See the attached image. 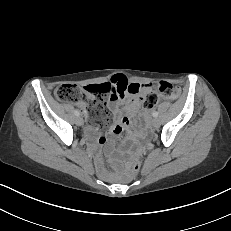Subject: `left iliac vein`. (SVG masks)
I'll return each mask as SVG.
<instances>
[{
  "label": "left iliac vein",
  "instance_id": "left-iliac-vein-1",
  "mask_svg": "<svg viewBox=\"0 0 231 231\" xmlns=\"http://www.w3.org/2000/svg\"><path fill=\"white\" fill-rule=\"evenodd\" d=\"M152 126H153L154 128H158V127L160 126V120L157 119V118H154V119L152 120Z\"/></svg>",
  "mask_w": 231,
  "mask_h": 231
}]
</instances>
